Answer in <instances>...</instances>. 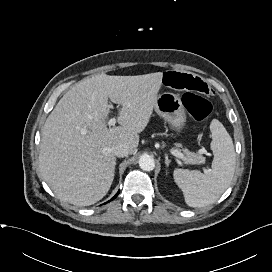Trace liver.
I'll return each mask as SVG.
<instances>
[{"instance_id": "liver-1", "label": "liver", "mask_w": 272, "mask_h": 272, "mask_svg": "<svg viewBox=\"0 0 272 272\" xmlns=\"http://www.w3.org/2000/svg\"><path fill=\"white\" fill-rule=\"evenodd\" d=\"M163 73L137 76L97 74L64 94L45 121L39 153L41 174L64 202L89 206L101 200L114 179L118 144L133 154L147 126ZM108 99L121 105L120 126L107 127Z\"/></svg>"}]
</instances>
